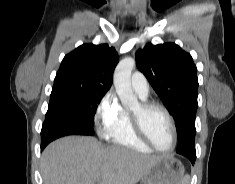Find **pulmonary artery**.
<instances>
[{
  "mask_svg": "<svg viewBox=\"0 0 235 184\" xmlns=\"http://www.w3.org/2000/svg\"><path fill=\"white\" fill-rule=\"evenodd\" d=\"M131 85L134 91L141 98H146L148 96L149 84L146 77L142 73L135 72L131 75Z\"/></svg>",
  "mask_w": 235,
  "mask_h": 184,
  "instance_id": "obj_1",
  "label": "pulmonary artery"
}]
</instances>
